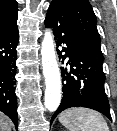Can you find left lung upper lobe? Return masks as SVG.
Segmentation results:
<instances>
[{
    "label": "left lung upper lobe",
    "mask_w": 117,
    "mask_h": 131,
    "mask_svg": "<svg viewBox=\"0 0 117 131\" xmlns=\"http://www.w3.org/2000/svg\"><path fill=\"white\" fill-rule=\"evenodd\" d=\"M49 8L61 10L72 24L79 42L101 61L104 60L97 19L88 0H52Z\"/></svg>",
    "instance_id": "1"
}]
</instances>
